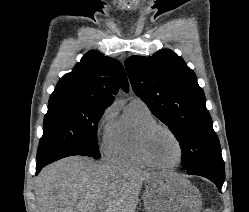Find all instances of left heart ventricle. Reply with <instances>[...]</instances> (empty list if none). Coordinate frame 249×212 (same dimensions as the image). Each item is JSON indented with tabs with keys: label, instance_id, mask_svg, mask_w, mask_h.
<instances>
[{
	"label": "left heart ventricle",
	"instance_id": "1",
	"mask_svg": "<svg viewBox=\"0 0 249 212\" xmlns=\"http://www.w3.org/2000/svg\"><path fill=\"white\" fill-rule=\"evenodd\" d=\"M153 158L160 164L172 165L179 159V148L175 140L163 131L156 132L150 141Z\"/></svg>",
	"mask_w": 249,
	"mask_h": 212
}]
</instances>
